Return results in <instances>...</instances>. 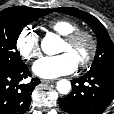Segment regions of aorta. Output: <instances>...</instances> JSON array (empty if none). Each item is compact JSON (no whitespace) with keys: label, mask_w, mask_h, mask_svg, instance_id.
Listing matches in <instances>:
<instances>
[{"label":"aorta","mask_w":114,"mask_h":114,"mask_svg":"<svg viewBox=\"0 0 114 114\" xmlns=\"http://www.w3.org/2000/svg\"><path fill=\"white\" fill-rule=\"evenodd\" d=\"M59 37L50 34L46 35L41 42V48L44 53L53 55L56 53V44L59 42ZM56 89L60 94H68L71 90V83L66 79H62L57 82Z\"/></svg>","instance_id":"aorta-1"}]
</instances>
